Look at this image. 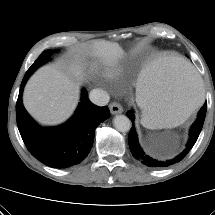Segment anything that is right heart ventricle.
Segmentation results:
<instances>
[{"label": "right heart ventricle", "instance_id": "e07e8e85", "mask_svg": "<svg viewBox=\"0 0 215 215\" xmlns=\"http://www.w3.org/2000/svg\"><path fill=\"white\" fill-rule=\"evenodd\" d=\"M118 73V69H114V70H111V71H108L107 72V74L109 75V76H114V75H116Z\"/></svg>", "mask_w": 215, "mask_h": 215}]
</instances>
